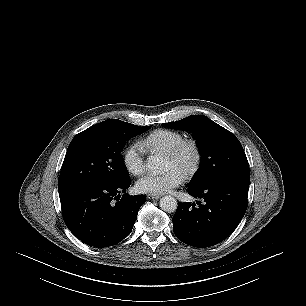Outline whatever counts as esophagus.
<instances>
[{
	"mask_svg": "<svg viewBox=\"0 0 306 306\" xmlns=\"http://www.w3.org/2000/svg\"><path fill=\"white\" fill-rule=\"evenodd\" d=\"M147 197H148L149 199H151V200H157V199H159L161 196H160V195H157V194H149Z\"/></svg>",
	"mask_w": 306,
	"mask_h": 306,
	"instance_id": "1",
	"label": "esophagus"
}]
</instances>
